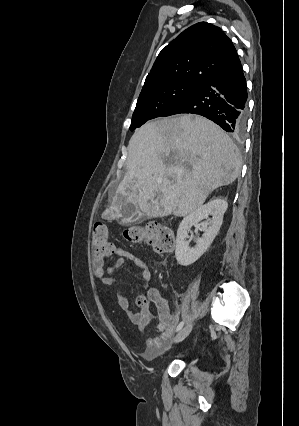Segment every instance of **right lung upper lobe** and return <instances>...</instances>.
I'll return each mask as SVG.
<instances>
[{
    "mask_svg": "<svg viewBox=\"0 0 299 426\" xmlns=\"http://www.w3.org/2000/svg\"><path fill=\"white\" fill-rule=\"evenodd\" d=\"M238 59L233 43L219 27L197 23L162 49L141 93L170 83L201 86Z\"/></svg>",
    "mask_w": 299,
    "mask_h": 426,
    "instance_id": "obj_1",
    "label": "right lung upper lobe"
}]
</instances>
